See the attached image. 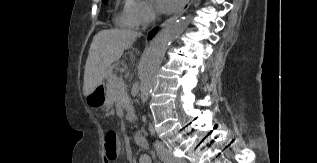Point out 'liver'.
Returning <instances> with one entry per match:
<instances>
[{"label":"liver","instance_id":"obj_1","mask_svg":"<svg viewBox=\"0 0 317 163\" xmlns=\"http://www.w3.org/2000/svg\"><path fill=\"white\" fill-rule=\"evenodd\" d=\"M141 34L130 30L104 29L93 38L84 71V96L100 86L107 68L130 48Z\"/></svg>","mask_w":317,"mask_h":163}]
</instances>
